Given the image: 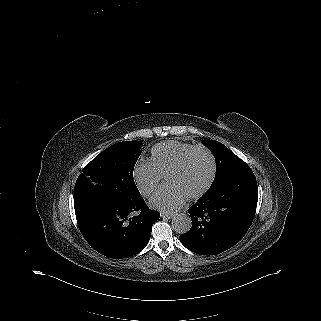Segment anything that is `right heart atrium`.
Here are the masks:
<instances>
[{
  "mask_svg": "<svg viewBox=\"0 0 321 321\" xmlns=\"http://www.w3.org/2000/svg\"><path fill=\"white\" fill-rule=\"evenodd\" d=\"M133 179L142 194L150 195L157 188L160 175L156 172L150 160L141 159L135 165Z\"/></svg>",
  "mask_w": 321,
  "mask_h": 321,
  "instance_id": "d8ad5b80",
  "label": "right heart atrium"
}]
</instances>
